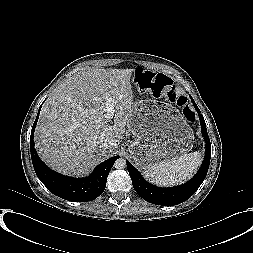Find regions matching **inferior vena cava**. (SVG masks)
Returning <instances> with one entry per match:
<instances>
[{
    "label": "inferior vena cava",
    "instance_id": "obj_1",
    "mask_svg": "<svg viewBox=\"0 0 253 253\" xmlns=\"http://www.w3.org/2000/svg\"><path fill=\"white\" fill-rule=\"evenodd\" d=\"M102 147H103L104 150H106V149H108V148L110 147V144L107 143V142H104V143L102 144Z\"/></svg>",
    "mask_w": 253,
    "mask_h": 253
}]
</instances>
